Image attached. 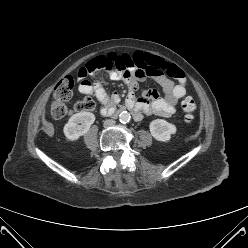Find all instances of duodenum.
<instances>
[{"label": "duodenum", "instance_id": "obj_1", "mask_svg": "<svg viewBox=\"0 0 248 248\" xmlns=\"http://www.w3.org/2000/svg\"><path fill=\"white\" fill-rule=\"evenodd\" d=\"M124 110L132 111V109L130 108V103L129 102H126L119 110L111 111L109 114L111 116H117L119 112L124 111Z\"/></svg>", "mask_w": 248, "mask_h": 248}]
</instances>
